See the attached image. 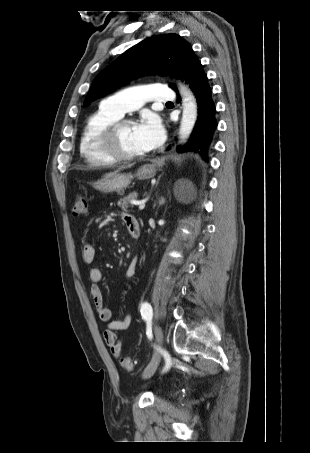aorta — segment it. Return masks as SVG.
Segmentation results:
<instances>
[{
  "mask_svg": "<svg viewBox=\"0 0 310 453\" xmlns=\"http://www.w3.org/2000/svg\"><path fill=\"white\" fill-rule=\"evenodd\" d=\"M179 90L183 100V112L179 136L181 142H185V140L190 136L197 120V102L193 93L184 85L179 84Z\"/></svg>",
  "mask_w": 310,
  "mask_h": 453,
  "instance_id": "obj_1",
  "label": "aorta"
}]
</instances>
